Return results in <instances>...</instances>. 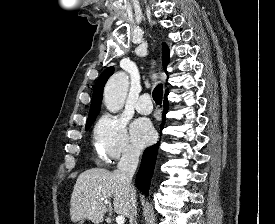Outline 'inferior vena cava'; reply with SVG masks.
I'll use <instances>...</instances> for the list:
<instances>
[{"mask_svg": "<svg viewBox=\"0 0 275 224\" xmlns=\"http://www.w3.org/2000/svg\"><path fill=\"white\" fill-rule=\"evenodd\" d=\"M140 151L138 149L128 147L124 149L122 157L118 163V172L129 194V219L130 224H137V205L135 190L132 185V177L138 165Z\"/></svg>", "mask_w": 275, "mask_h": 224, "instance_id": "1", "label": "inferior vena cava"}]
</instances>
